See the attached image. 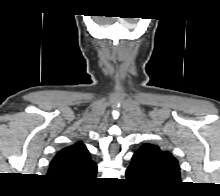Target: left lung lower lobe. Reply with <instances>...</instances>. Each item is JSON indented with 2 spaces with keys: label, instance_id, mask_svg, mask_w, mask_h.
<instances>
[{
  "label": "left lung lower lobe",
  "instance_id": "obj_1",
  "mask_svg": "<svg viewBox=\"0 0 220 196\" xmlns=\"http://www.w3.org/2000/svg\"><path fill=\"white\" fill-rule=\"evenodd\" d=\"M136 161H137L136 157L133 156L132 162L126 172L127 178L131 180H138L140 182H144L146 184L152 185L150 181L147 179L146 175L140 169Z\"/></svg>",
  "mask_w": 220,
  "mask_h": 196
}]
</instances>
